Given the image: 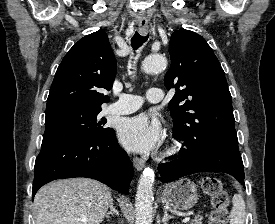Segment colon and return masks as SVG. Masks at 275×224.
Here are the masks:
<instances>
[{
	"instance_id": "obj_1",
	"label": "colon",
	"mask_w": 275,
	"mask_h": 224,
	"mask_svg": "<svg viewBox=\"0 0 275 224\" xmlns=\"http://www.w3.org/2000/svg\"><path fill=\"white\" fill-rule=\"evenodd\" d=\"M201 186L212 202L209 224H227L230 196L221 181L216 177L207 176L203 178Z\"/></svg>"
}]
</instances>
